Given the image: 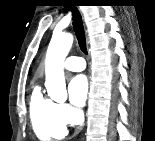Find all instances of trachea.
<instances>
[{"label": "trachea", "instance_id": "3493384b", "mask_svg": "<svg viewBox=\"0 0 155 141\" xmlns=\"http://www.w3.org/2000/svg\"><path fill=\"white\" fill-rule=\"evenodd\" d=\"M69 7H71V5H69ZM71 10H72V16H73L72 24H73L75 35L78 40L79 47L84 53H87L86 38H85V32H84V26H83L81 14L74 7H71Z\"/></svg>", "mask_w": 155, "mask_h": 141}]
</instances>
